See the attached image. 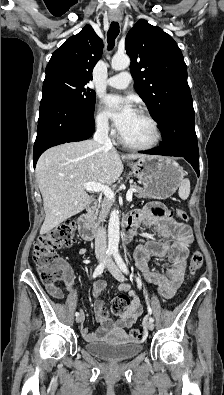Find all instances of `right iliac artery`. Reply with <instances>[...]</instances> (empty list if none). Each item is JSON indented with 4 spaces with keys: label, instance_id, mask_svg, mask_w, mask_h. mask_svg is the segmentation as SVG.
Masks as SVG:
<instances>
[{
    "label": "right iliac artery",
    "instance_id": "obj_1",
    "mask_svg": "<svg viewBox=\"0 0 224 395\" xmlns=\"http://www.w3.org/2000/svg\"><path fill=\"white\" fill-rule=\"evenodd\" d=\"M111 255H112V252L108 250L106 252V256H105L104 260L96 267V269H95V271L93 273V278H96V277H98V276H100L102 274V272H103V270L105 268V265H106L107 261L110 259ZM75 316L78 317L79 316V312H76Z\"/></svg>",
    "mask_w": 224,
    "mask_h": 395
}]
</instances>
